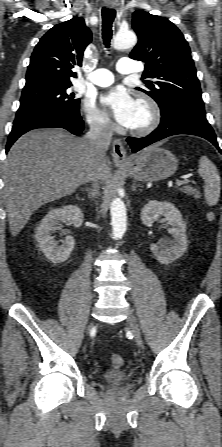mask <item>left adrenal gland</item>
Segmentation results:
<instances>
[{
    "mask_svg": "<svg viewBox=\"0 0 222 447\" xmlns=\"http://www.w3.org/2000/svg\"><path fill=\"white\" fill-rule=\"evenodd\" d=\"M138 187H142V185H140V184H136L135 181H133V184H132V191H136V189H137Z\"/></svg>",
    "mask_w": 222,
    "mask_h": 447,
    "instance_id": "obj_1",
    "label": "left adrenal gland"
}]
</instances>
